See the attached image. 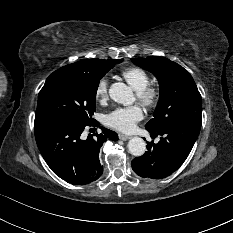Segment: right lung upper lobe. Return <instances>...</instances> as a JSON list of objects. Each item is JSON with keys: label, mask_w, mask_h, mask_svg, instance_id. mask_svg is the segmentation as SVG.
Returning a JSON list of instances; mask_svg holds the SVG:
<instances>
[{"label": "right lung upper lobe", "mask_w": 233, "mask_h": 233, "mask_svg": "<svg viewBox=\"0 0 233 233\" xmlns=\"http://www.w3.org/2000/svg\"><path fill=\"white\" fill-rule=\"evenodd\" d=\"M101 61H102L101 59H87V60H82V61L70 64V65H67V66L82 69V70H92Z\"/></svg>", "instance_id": "obj_1"}]
</instances>
